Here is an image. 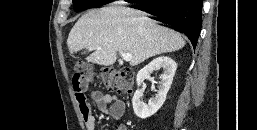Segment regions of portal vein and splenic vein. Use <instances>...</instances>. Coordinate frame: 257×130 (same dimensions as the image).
I'll use <instances>...</instances> for the list:
<instances>
[{"mask_svg":"<svg viewBox=\"0 0 257 130\" xmlns=\"http://www.w3.org/2000/svg\"><path fill=\"white\" fill-rule=\"evenodd\" d=\"M100 49H101V48L98 47V50H100ZM119 53H120V55H121V57H122V59H123L124 61H126V62L131 61V59H132L131 54H129V53H124V52H122V51H120Z\"/></svg>","mask_w":257,"mask_h":130,"instance_id":"obj_1","label":"portal vein and splenic vein"}]
</instances>
